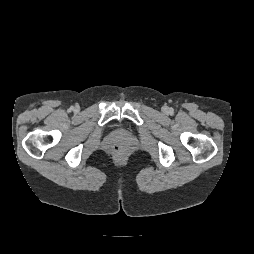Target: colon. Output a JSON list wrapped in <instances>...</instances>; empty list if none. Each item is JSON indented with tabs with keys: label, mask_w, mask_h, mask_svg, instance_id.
I'll return each instance as SVG.
<instances>
[{
	"label": "colon",
	"mask_w": 254,
	"mask_h": 254,
	"mask_svg": "<svg viewBox=\"0 0 254 254\" xmlns=\"http://www.w3.org/2000/svg\"><path fill=\"white\" fill-rule=\"evenodd\" d=\"M113 151H114L115 153H117V154H120V153L123 152V149H122L121 147H119V146H115V147L113 148Z\"/></svg>",
	"instance_id": "1"
}]
</instances>
